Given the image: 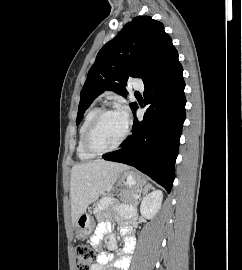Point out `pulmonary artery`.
Wrapping results in <instances>:
<instances>
[{
	"label": "pulmonary artery",
	"mask_w": 242,
	"mask_h": 270,
	"mask_svg": "<svg viewBox=\"0 0 242 270\" xmlns=\"http://www.w3.org/2000/svg\"><path fill=\"white\" fill-rule=\"evenodd\" d=\"M133 88L141 91L144 88V84L141 80H138V81L133 83Z\"/></svg>",
	"instance_id": "1"
}]
</instances>
